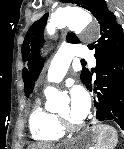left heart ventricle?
<instances>
[{
	"instance_id": "obj_1",
	"label": "left heart ventricle",
	"mask_w": 124,
	"mask_h": 149,
	"mask_svg": "<svg viewBox=\"0 0 124 149\" xmlns=\"http://www.w3.org/2000/svg\"><path fill=\"white\" fill-rule=\"evenodd\" d=\"M59 114L65 116L67 119H69L71 122L73 123H78L80 122V120L74 119L72 118L71 114H70V105L69 103H66L65 105H63L60 110L58 111Z\"/></svg>"
}]
</instances>
